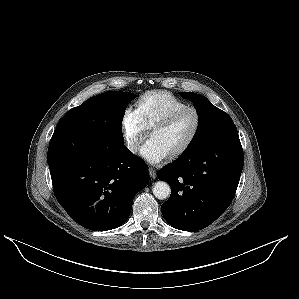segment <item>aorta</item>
<instances>
[{
    "label": "aorta",
    "instance_id": "aorta-1",
    "mask_svg": "<svg viewBox=\"0 0 299 299\" xmlns=\"http://www.w3.org/2000/svg\"><path fill=\"white\" fill-rule=\"evenodd\" d=\"M152 192L157 199L163 200L170 195L171 189L168 183L164 181H158L154 184Z\"/></svg>",
    "mask_w": 299,
    "mask_h": 299
}]
</instances>
